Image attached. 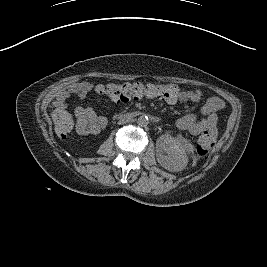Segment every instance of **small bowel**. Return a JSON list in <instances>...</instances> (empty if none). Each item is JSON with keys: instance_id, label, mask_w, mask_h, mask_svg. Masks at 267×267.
Masks as SVG:
<instances>
[{"instance_id": "small-bowel-1", "label": "small bowel", "mask_w": 267, "mask_h": 267, "mask_svg": "<svg viewBox=\"0 0 267 267\" xmlns=\"http://www.w3.org/2000/svg\"><path fill=\"white\" fill-rule=\"evenodd\" d=\"M94 89V85L90 82L75 83L69 86L64 94V97L77 95L80 99L86 98ZM203 105L198 113H190L179 118L175 125L179 130L188 131L193 135H199L203 132L212 134L214 137L218 134V112L224 109L225 103L218 97H209L204 99L202 91L199 89L181 90V96L178 101L181 102H201ZM65 105V99H60L57 102L58 110H62ZM77 115V131L80 134H98L106 125V119L98 116L93 108L81 107L75 108ZM198 114L204 118L198 119Z\"/></svg>"}]
</instances>
